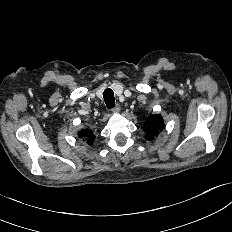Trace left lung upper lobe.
Here are the masks:
<instances>
[{"instance_id":"obj_1","label":"left lung upper lobe","mask_w":232,"mask_h":232,"mask_svg":"<svg viewBox=\"0 0 232 232\" xmlns=\"http://www.w3.org/2000/svg\"><path fill=\"white\" fill-rule=\"evenodd\" d=\"M147 132L146 139L152 140L163 128V119L160 115H151L142 127Z\"/></svg>"}]
</instances>
